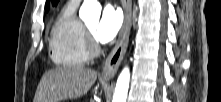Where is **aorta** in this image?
Listing matches in <instances>:
<instances>
[{
    "label": "aorta",
    "mask_w": 221,
    "mask_h": 102,
    "mask_svg": "<svg viewBox=\"0 0 221 102\" xmlns=\"http://www.w3.org/2000/svg\"><path fill=\"white\" fill-rule=\"evenodd\" d=\"M101 14V5L98 0H84L79 16L82 20H98ZM130 83V70L125 67L116 83L115 92L112 102H126Z\"/></svg>",
    "instance_id": "aorta-1"
}]
</instances>
